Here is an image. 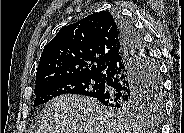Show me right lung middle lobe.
<instances>
[{"label": "right lung middle lobe", "mask_w": 184, "mask_h": 133, "mask_svg": "<svg viewBox=\"0 0 184 133\" xmlns=\"http://www.w3.org/2000/svg\"><path fill=\"white\" fill-rule=\"evenodd\" d=\"M139 34V33H138ZM140 35V34H139ZM141 36V35H140ZM150 69V86L142 101H128L111 106V109L120 114H139L142 112L160 116L163 109V88L158 66L151 53L147 52ZM104 88L103 75H87L79 77H65L53 80L38 88L34 106L46 103L48 100L62 94H82L95 97L101 94Z\"/></svg>", "instance_id": "dd1d6c3e"}]
</instances>
